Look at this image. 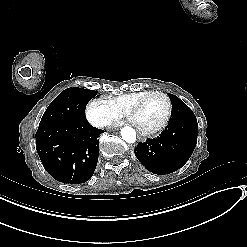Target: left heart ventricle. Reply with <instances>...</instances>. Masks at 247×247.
<instances>
[{"mask_svg": "<svg viewBox=\"0 0 247 247\" xmlns=\"http://www.w3.org/2000/svg\"><path fill=\"white\" fill-rule=\"evenodd\" d=\"M166 112V100L160 95L147 97L142 104L141 119L142 126L150 127L159 124Z\"/></svg>", "mask_w": 247, "mask_h": 247, "instance_id": "b2bd125f", "label": "left heart ventricle"}]
</instances>
